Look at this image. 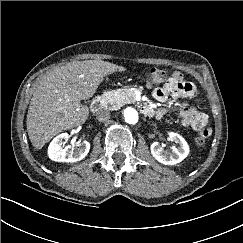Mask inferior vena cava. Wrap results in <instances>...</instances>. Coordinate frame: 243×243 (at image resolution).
I'll return each mask as SVG.
<instances>
[{
	"mask_svg": "<svg viewBox=\"0 0 243 243\" xmlns=\"http://www.w3.org/2000/svg\"><path fill=\"white\" fill-rule=\"evenodd\" d=\"M95 116L98 121L103 122L110 118V112L107 109H100L96 112Z\"/></svg>",
	"mask_w": 243,
	"mask_h": 243,
	"instance_id": "602c4592",
	"label": "inferior vena cava"
}]
</instances>
